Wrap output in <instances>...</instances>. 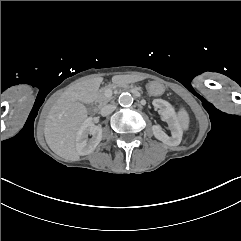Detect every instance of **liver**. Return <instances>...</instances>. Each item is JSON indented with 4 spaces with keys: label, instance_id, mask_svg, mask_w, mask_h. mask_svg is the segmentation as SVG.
Masks as SVG:
<instances>
[{
    "label": "liver",
    "instance_id": "obj_1",
    "mask_svg": "<svg viewBox=\"0 0 241 241\" xmlns=\"http://www.w3.org/2000/svg\"><path fill=\"white\" fill-rule=\"evenodd\" d=\"M116 76L113 77L115 82ZM102 77L81 80L66 90L51 107L45 120V140L58 156L78 161L75 147L76 132L87 118L83 103H92L97 98Z\"/></svg>",
    "mask_w": 241,
    "mask_h": 241
}]
</instances>
